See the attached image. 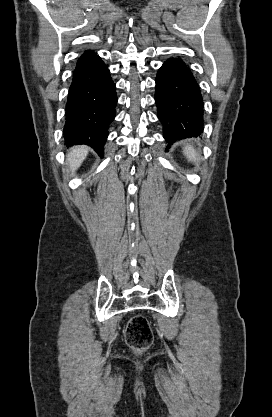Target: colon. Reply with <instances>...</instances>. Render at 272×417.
Here are the masks:
<instances>
[{"label": "colon", "mask_w": 272, "mask_h": 417, "mask_svg": "<svg viewBox=\"0 0 272 417\" xmlns=\"http://www.w3.org/2000/svg\"><path fill=\"white\" fill-rule=\"evenodd\" d=\"M153 338V331L146 317L135 315L128 321L125 339L130 347L144 351L151 346Z\"/></svg>", "instance_id": "5ec220e1"}]
</instances>
